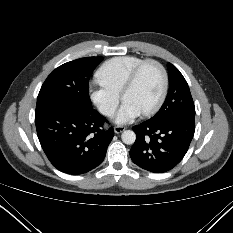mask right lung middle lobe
Here are the masks:
<instances>
[{
  "mask_svg": "<svg viewBox=\"0 0 233 233\" xmlns=\"http://www.w3.org/2000/svg\"><path fill=\"white\" fill-rule=\"evenodd\" d=\"M103 57H86L67 62L50 73L43 83L35 114L54 107L92 108L88 83Z\"/></svg>",
  "mask_w": 233,
  "mask_h": 233,
  "instance_id": "right-lung-middle-lobe-1",
  "label": "right lung middle lobe"
}]
</instances>
